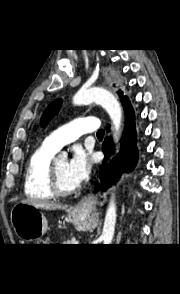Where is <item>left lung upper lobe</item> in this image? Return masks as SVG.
I'll use <instances>...</instances> for the list:
<instances>
[{"instance_id": "1", "label": "left lung upper lobe", "mask_w": 180, "mask_h": 294, "mask_svg": "<svg viewBox=\"0 0 180 294\" xmlns=\"http://www.w3.org/2000/svg\"><path fill=\"white\" fill-rule=\"evenodd\" d=\"M121 102L123 103L125 100H127V96H123V93L121 91L118 92ZM62 104L61 99H57L54 102H52L47 109L44 111L42 117H41V125L45 126L48 124V122L55 116V114L59 111Z\"/></svg>"}]
</instances>
